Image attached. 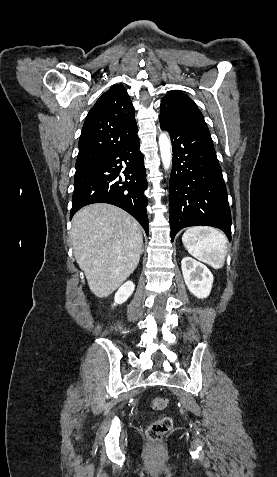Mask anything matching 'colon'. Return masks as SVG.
<instances>
[{"instance_id":"colon-1","label":"colon","mask_w":277,"mask_h":477,"mask_svg":"<svg viewBox=\"0 0 277 477\" xmlns=\"http://www.w3.org/2000/svg\"><path fill=\"white\" fill-rule=\"evenodd\" d=\"M168 400L165 397H154L150 401L153 410L160 411L167 407ZM172 427V419L164 417L153 422L146 430V436L153 445H158Z\"/></svg>"}]
</instances>
